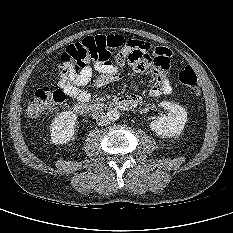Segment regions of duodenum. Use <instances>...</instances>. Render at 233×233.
I'll list each match as a JSON object with an SVG mask.
<instances>
[{"mask_svg": "<svg viewBox=\"0 0 233 233\" xmlns=\"http://www.w3.org/2000/svg\"><path fill=\"white\" fill-rule=\"evenodd\" d=\"M139 103V97L135 95L118 97L110 103L102 102H78L74 105V111L80 115H87L104 110L107 107L130 110L135 108Z\"/></svg>", "mask_w": 233, "mask_h": 233, "instance_id": "410a0bca", "label": "duodenum"}]
</instances>
